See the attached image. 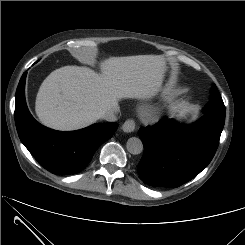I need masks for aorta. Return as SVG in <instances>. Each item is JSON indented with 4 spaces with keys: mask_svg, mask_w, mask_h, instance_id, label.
Wrapping results in <instances>:
<instances>
[{
    "mask_svg": "<svg viewBox=\"0 0 245 245\" xmlns=\"http://www.w3.org/2000/svg\"><path fill=\"white\" fill-rule=\"evenodd\" d=\"M126 147L129 153L138 155L143 151V143L141 139L137 137H131L126 143Z\"/></svg>",
    "mask_w": 245,
    "mask_h": 245,
    "instance_id": "obj_1",
    "label": "aorta"
}]
</instances>
